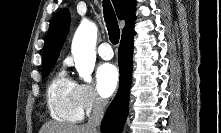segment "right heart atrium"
<instances>
[{
  "mask_svg": "<svg viewBox=\"0 0 221 133\" xmlns=\"http://www.w3.org/2000/svg\"><path fill=\"white\" fill-rule=\"evenodd\" d=\"M78 96L81 108L87 114L99 111L104 105V101L90 84H78Z\"/></svg>",
  "mask_w": 221,
  "mask_h": 133,
  "instance_id": "obj_1",
  "label": "right heart atrium"
}]
</instances>
